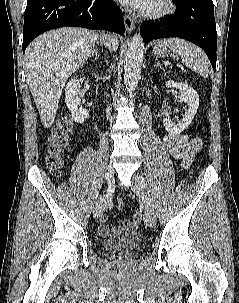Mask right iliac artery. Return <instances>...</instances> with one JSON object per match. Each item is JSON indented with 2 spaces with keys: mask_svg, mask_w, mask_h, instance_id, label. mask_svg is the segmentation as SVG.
<instances>
[{
  "mask_svg": "<svg viewBox=\"0 0 239 303\" xmlns=\"http://www.w3.org/2000/svg\"><path fill=\"white\" fill-rule=\"evenodd\" d=\"M113 174V173H111ZM113 182V181H112ZM115 190V186H114V183L111 184L109 187H108V190H107V194L105 197L109 198L110 196H112V193L114 192Z\"/></svg>",
  "mask_w": 239,
  "mask_h": 303,
  "instance_id": "82829eb1",
  "label": "right iliac artery"
}]
</instances>
